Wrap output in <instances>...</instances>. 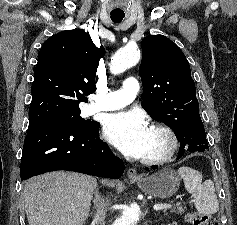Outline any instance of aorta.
I'll list each match as a JSON object with an SVG mask.
<instances>
[{
	"instance_id": "762f6f07",
	"label": "aorta",
	"mask_w": 237,
	"mask_h": 225,
	"mask_svg": "<svg viewBox=\"0 0 237 225\" xmlns=\"http://www.w3.org/2000/svg\"><path fill=\"white\" fill-rule=\"evenodd\" d=\"M140 60V51L136 47H125L112 58L110 70L113 74H120L127 68L136 65ZM140 216L138 208L127 206L120 217L112 225H136Z\"/></svg>"
}]
</instances>
